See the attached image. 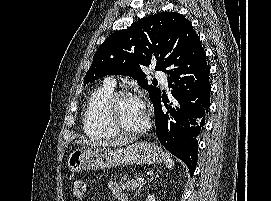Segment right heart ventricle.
<instances>
[{
	"instance_id": "e07e8e85",
	"label": "right heart ventricle",
	"mask_w": 271,
	"mask_h": 201,
	"mask_svg": "<svg viewBox=\"0 0 271 201\" xmlns=\"http://www.w3.org/2000/svg\"><path fill=\"white\" fill-rule=\"evenodd\" d=\"M114 93L113 87L101 86L90 96L83 114V127L87 136L107 140L119 136L106 116V104Z\"/></svg>"
}]
</instances>
